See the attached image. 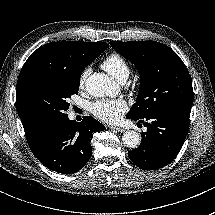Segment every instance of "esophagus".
<instances>
[{
	"mask_svg": "<svg viewBox=\"0 0 215 215\" xmlns=\"http://www.w3.org/2000/svg\"><path fill=\"white\" fill-rule=\"evenodd\" d=\"M110 128H111L112 130H115L116 132H119V133H123V132L125 131V129L122 128V127L110 126Z\"/></svg>",
	"mask_w": 215,
	"mask_h": 215,
	"instance_id": "obj_1",
	"label": "esophagus"
}]
</instances>
